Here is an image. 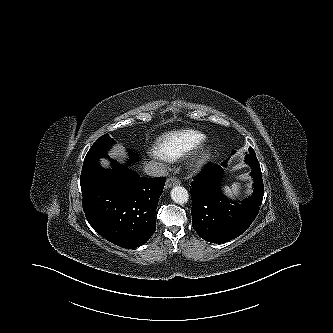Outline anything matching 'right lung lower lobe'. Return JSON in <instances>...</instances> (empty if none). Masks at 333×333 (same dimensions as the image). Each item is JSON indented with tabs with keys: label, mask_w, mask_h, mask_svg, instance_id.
<instances>
[{
	"label": "right lung lower lobe",
	"mask_w": 333,
	"mask_h": 333,
	"mask_svg": "<svg viewBox=\"0 0 333 333\" xmlns=\"http://www.w3.org/2000/svg\"><path fill=\"white\" fill-rule=\"evenodd\" d=\"M91 227L123 248L146 243L156 230L155 211L165 178H143L128 167L101 168L80 180Z\"/></svg>",
	"instance_id": "right-lung-lower-lobe-1"
}]
</instances>
